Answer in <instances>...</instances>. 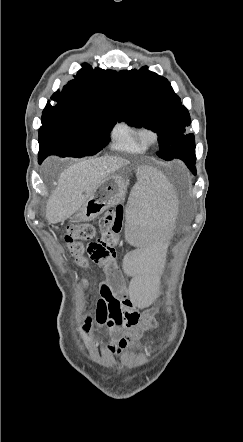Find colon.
Wrapping results in <instances>:
<instances>
[{"label": "colon", "mask_w": 243, "mask_h": 442, "mask_svg": "<svg viewBox=\"0 0 243 442\" xmlns=\"http://www.w3.org/2000/svg\"><path fill=\"white\" fill-rule=\"evenodd\" d=\"M123 227V206L107 212L97 225L80 222L67 227L65 244L80 266L87 265L86 254L95 261L110 262L115 256ZM99 234V235H98ZM88 243L87 246L84 243Z\"/></svg>", "instance_id": "obj_1"}]
</instances>
